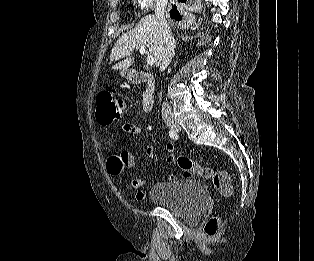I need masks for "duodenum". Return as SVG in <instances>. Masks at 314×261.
I'll use <instances>...</instances> for the list:
<instances>
[{"label":"duodenum","instance_id":"1","mask_svg":"<svg viewBox=\"0 0 314 261\" xmlns=\"http://www.w3.org/2000/svg\"><path fill=\"white\" fill-rule=\"evenodd\" d=\"M131 80L135 84L144 85V92L142 96V111L149 113L155 100V78L152 74L147 72L135 71L131 74Z\"/></svg>","mask_w":314,"mask_h":261}]
</instances>
